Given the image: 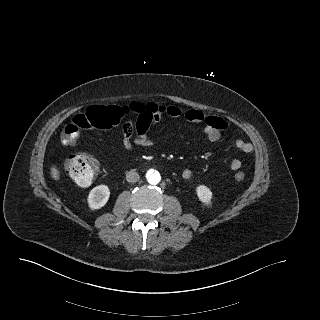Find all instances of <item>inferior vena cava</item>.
<instances>
[{"mask_svg":"<svg viewBox=\"0 0 320 320\" xmlns=\"http://www.w3.org/2000/svg\"><path fill=\"white\" fill-rule=\"evenodd\" d=\"M139 174L134 171V170H130L127 172L126 174V180L129 182V183H135L139 180Z\"/></svg>","mask_w":320,"mask_h":320,"instance_id":"1","label":"inferior vena cava"}]
</instances>
